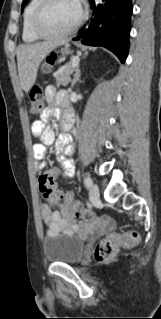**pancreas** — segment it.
I'll return each instance as SVG.
<instances>
[{"label":"pancreas","mask_w":161,"mask_h":319,"mask_svg":"<svg viewBox=\"0 0 161 319\" xmlns=\"http://www.w3.org/2000/svg\"><path fill=\"white\" fill-rule=\"evenodd\" d=\"M74 71L72 67V62H69L65 66L61 67L59 71L54 73V77L56 79V86L59 88L60 86H66L71 81V75Z\"/></svg>","instance_id":"obj_1"}]
</instances>
